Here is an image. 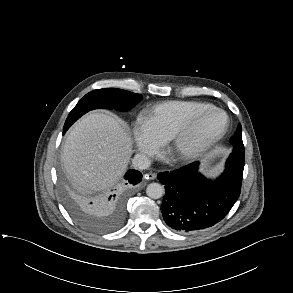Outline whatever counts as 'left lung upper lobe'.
<instances>
[{
    "label": "left lung upper lobe",
    "mask_w": 293,
    "mask_h": 293,
    "mask_svg": "<svg viewBox=\"0 0 293 293\" xmlns=\"http://www.w3.org/2000/svg\"><path fill=\"white\" fill-rule=\"evenodd\" d=\"M230 143L233 145V152L229 159L237 161L239 165L244 166V145L242 141V127L238 126L235 135L231 138Z\"/></svg>",
    "instance_id": "5c2ea615"
}]
</instances>
